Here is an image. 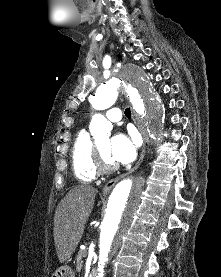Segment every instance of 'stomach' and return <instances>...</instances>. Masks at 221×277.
<instances>
[{
    "instance_id": "stomach-1",
    "label": "stomach",
    "mask_w": 221,
    "mask_h": 277,
    "mask_svg": "<svg viewBox=\"0 0 221 277\" xmlns=\"http://www.w3.org/2000/svg\"><path fill=\"white\" fill-rule=\"evenodd\" d=\"M51 277H75L74 271L67 265L58 268Z\"/></svg>"
}]
</instances>
